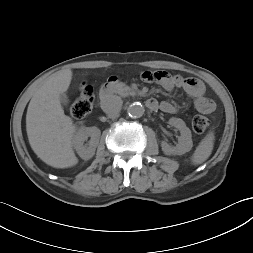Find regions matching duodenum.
<instances>
[{
	"label": "duodenum",
	"mask_w": 253,
	"mask_h": 253,
	"mask_svg": "<svg viewBox=\"0 0 253 253\" xmlns=\"http://www.w3.org/2000/svg\"><path fill=\"white\" fill-rule=\"evenodd\" d=\"M117 83L118 80L115 77L110 78L106 85H104V87L101 89L100 99L103 102L108 99L111 90L116 86ZM146 106L151 110H156L159 107L158 102L153 98H150L146 101Z\"/></svg>",
	"instance_id": "410a0bca"
}]
</instances>
